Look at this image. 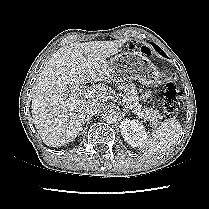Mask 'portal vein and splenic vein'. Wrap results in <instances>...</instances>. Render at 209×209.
I'll list each match as a JSON object with an SVG mask.
<instances>
[{"label": "portal vein and splenic vein", "instance_id": "18ae733b", "mask_svg": "<svg viewBox=\"0 0 209 209\" xmlns=\"http://www.w3.org/2000/svg\"><path fill=\"white\" fill-rule=\"evenodd\" d=\"M84 97H85L86 99H90V98L95 97V92H94V90H91V91L89 90V91H87V92L84 94ZM123 101H124L125 103H127V99H126V98H124Z\"/></svg>", "mask_w": 209, "mask_h": 209}]
</instances>
